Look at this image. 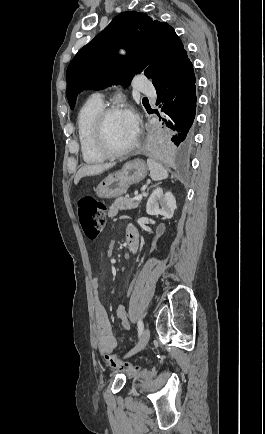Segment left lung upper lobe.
<instances>
[{"instance_id":"obj_1","label":"left lung upper lobe","mask_w":265,"mask_h":434,"mask_svg":"<svg viewBox=\"0 0 265 434\" xmlns=\"http://www.w3.org/2000/svg\"><path fill=\"white\" fill-rule=\"evenodd\" d=\"M119 48L129 53L117 56ZM186 54L173 27L144 13L123 12L70 62L66 74L69 105L74 108L77 94L84 89L128 85L140 73L159 88Z\"/></svg>"}]
</instances>
